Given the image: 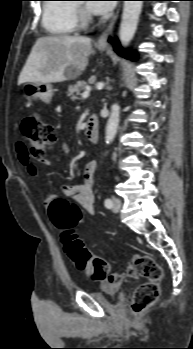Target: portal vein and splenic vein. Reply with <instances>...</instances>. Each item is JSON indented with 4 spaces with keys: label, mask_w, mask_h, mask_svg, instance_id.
I'll return each instance as SVG.
<instances>
[{
    "label": "portal vein and splenic vein",
    "mask_w": 193,
    "mask_h": 349,
    "mask_svg": "<svg viewBox=\"0 0 193 349\" xmlns=\"http://www.w3.org/2000/svg\"><path fill=\"white\" fill-rule=\"evenodd\" d=\"M89 95H90V90H85V91L82 93V98H87Z\"/></svg>",
    "instance_id": "1"
}]
</instances>
